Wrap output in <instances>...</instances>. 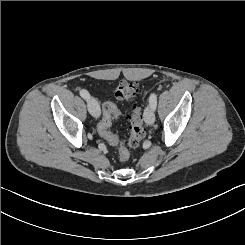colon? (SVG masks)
Segmentation results:
<instances>
[{"label":"colon","mask_w":245,"mask_h":245,"mask_svg":"<svg viewBox=\"0 0 245 245\" xmlns=\"http://www.w3.org/2000/svg\"><path fill=\"white\" fill-rule=\"evenodd\" d=\"M136 85L129 81H121L115 89V97L118 100L131 103L136 95ZM119 116L117 106L112 102L102 105V117L98 124V132L110 144L118 147V159L125 162L130 157L129 148L137 147L145 137L143 117L139 107L132 104L129 112V138L123 140L117 132L111 131L112 121Z\"/></svg>","instance_id":"5ec220e1"}]
</instances>
